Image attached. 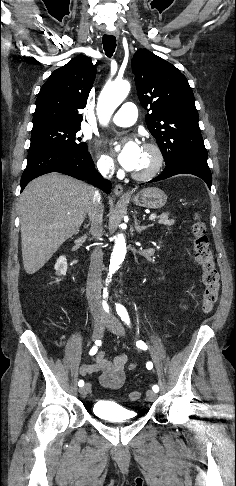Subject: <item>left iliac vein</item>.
<instances>
[{"instance_id":"obj_1","label":"left iliac vein","mask_w":236,"mask_h":486,"mask_svg":"<svg viewBox=\"0 0 236 486\" xmlns=\"http://www.w3.org/2000/svg\"><path fill=\"white\" fill-rule=\"evenodd\" d=\"M106 326L108 330H110L112 333L118 336H124L125 332H124L123 325L115 316H110L107 319ZM146 397L148 401L153 402L157 398V394L153 390H148L146 392Z\"/></svg>"}]
</instances>
